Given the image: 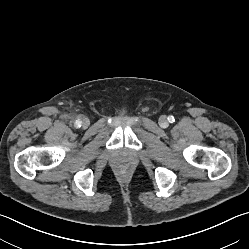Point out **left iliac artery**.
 <instances>
[{"label": "left iliac artery", "mask_w": 249, "mask_h": 249, "mask_svg": "<svg viewBox=\"0 0 249 249\" xmlns=\"http://www.w3.org/2000/svg\"><path fill=\"white\" fill-rule=\"evenodd\" d=\"M168 121H169L170 123H173V122L175 121L174 116H172V115L168 116Z\"/></svg>", "instance_id": "obj_1"}]
</instances>
